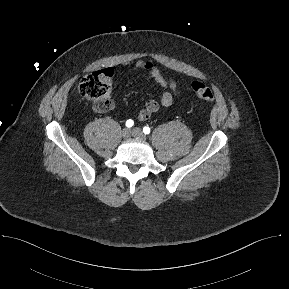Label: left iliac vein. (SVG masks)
I'll list each match as a JSON object with an SVG mask.
<instances>
[{
	"label": "left iliac vein",
	"mask_w": 289,
	"mask_h": 289,
	"mask_svg": "<svg viewBox=\"0 0 289 289\" xmlns=\"http://www.w3.org/2000/svg\"><path fill=\"white\" fill-rule=\"evenodd\" d=\"M132 135L140 140H145L146 136L144 135V133L141 131V129L139 128H134L132 130Z\"/></svg>",
	"instance_id": "4c4485c4"
}]
</instances>
